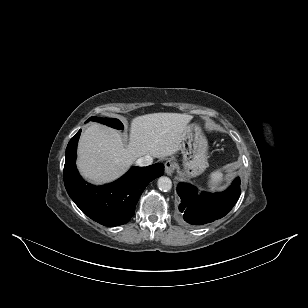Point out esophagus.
Returning <instances> with one entry per match:
<instances>
[{
  "label": "esophagus",
  "mask_w": 308,
  "mask_h": 308,
  "mask_svg": "<svg viewBox=\"0 0 308 308\" xmlns=\"http://www.w3.org/2000/svg\"><path fill=\"white\" fill-rule=\"evenodd\" d=\"M175 162L173 160H167L165 162V173L171 175L175 170Z\"/></svg>",
  "instance_id": "34e87169"
}]
</instances>
